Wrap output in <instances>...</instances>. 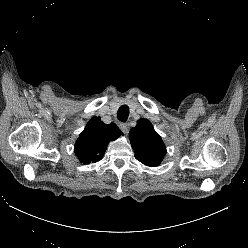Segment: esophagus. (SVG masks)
I'll use <instances>...</instances> for the list:
<instances>
[{"instance_id": "1", "label": "esophagus", "mask_w": 248, "mask_h": 248, "mask_svg": "<svg viewBox=\"0 0 248 248\" xmlns=\"http://www.w3.org/2000/svg\"><path fill=\"white\" fill-rule=\"evenodd\" d=\"M120 129L123 131V133L128 134L129 132V124L127 123H121Z\"/></svg>"}]
</instances>
